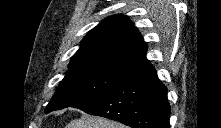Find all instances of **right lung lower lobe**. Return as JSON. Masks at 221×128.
Instances as JSON below:
<instances>
[{
    "mask_svg": "<svg viewBox=\"0 0 221 128\" xmlns=\"http://www.w3.org/2000/svg\"><path fill=\"white\" fill-rule=\"evenodd\" d=\"M74 107L132 128H170L167 88L151 64L123 78L100 96Z\"/></svg>",
    "mask_w": 221,
    "mask_h": 128,
    "instance_id": "obj_1",
    "label": "right lung lower lobe"
}]
</instances>
